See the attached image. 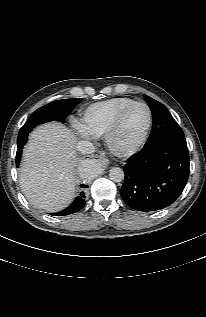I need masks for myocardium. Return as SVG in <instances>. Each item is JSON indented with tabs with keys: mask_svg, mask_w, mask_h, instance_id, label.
<instances>
[{
	"mask_svg": "<svg viewBox=\"0 0 206 317\" xmlns=\"http://www.w3.org/2000/svg\"><path fill=\"white\" fill-rule=\"evenodd\" d=\"M135 105H143L146 108L147 111V124L145 127V130L140 138V140L133 146L127 147V148H122L118 146L115 142V136L120 128V125L122 123V120L127 113V111L135 106ZM152 126V112L150 107L148 106L147 103L143 101H133L130 104L126 105L124 108H122L117 115L115 116L111 126L109 127L107 133L105 134V143L108 147V149L115 155L120 156V157H127L131 156L135 153H137L146 143L149 133L151 130Z\"/></svg>",
	"mask_w": 206,
	"mask_h": 317,
	"instance_id": "f54148a6",
	"label": "myocardium"
}]
</instances>
